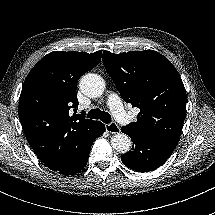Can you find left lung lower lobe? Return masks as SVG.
<instances>
[{"mask_svg":"<svg viewBox=\"0 0 215 215\" xmlns=\"http://www.w3.org/2000/svg\"><path fill=\"white\" fill-rule=\"evenodd\" d=\"M132 142V149L121 156L122 162L137 172H148L160 167L170 157L179 137H154L134 134L121 128Z\"/></svg>","mask_w":215,"mask_h":215,"instance_id":"obj_1","label":"left lung lower lobe"}]
</instances>
